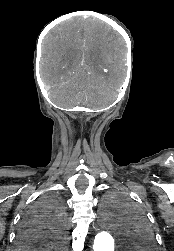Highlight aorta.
Here are the masks:
<instances>
[{"label":"aorta","mask_w":174,"mask_h":251,"mask_svg":"<svg viewBox=\"0 0 174 251\" xmlns=\"http://www.w3.org/2000/svg\"><path fill=\"white\" fill-rule=\"evenodd\" d=\"M119 226L120 222L117 219L103 217L99 223V231L95 236L93 250L114 251V240L108 231Z\"/></svg>","instance_id":"aorta-1"}]
</instances>
